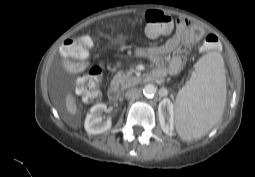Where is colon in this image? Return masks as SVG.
<instances>
[{
    "label": "colon",
    "instance_id": "1",
    "mask_svg": "<svg viewBox=\"0 0 255 177\" xmlns=\"http://www.w3.org/2000/svg\"><path fill=\"white\" fill-rule=\"evenodd\" d=\"M144 21L145 31L149 37L166 33L172 26V18L159 10H148L144 15ZM93 40V35L84 33L67 39L60 49L66 69L79 74L76 89L86 102H94L99 98L101 70L98 67L87 70V59ZM214 42L217 44V38L212 34L207 35L204 40L205 48L215 47Z\"/></svg>",
    "mask_w": 255,
    "mask_h": 177
}]
</instances>
